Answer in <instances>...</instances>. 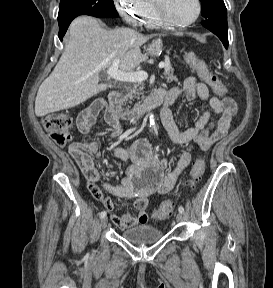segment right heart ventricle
<instances>
[{
	"label": "right heart ventricle",
	"instance_id": "right-heart-ventricle-1",
	"mask_svg": "<svg viewBox=\"0 0 273 288\" xmlns=\"http://www.w3.org/2000/svg\"><path fill=\"white\" fill-rule=\"evenodd\" d=\"M141 23L149 28H155L160 26V21L156 18L152 2H150V7L146 15L143 17Z\"/></svg>",
	"mask_w": 273,
	"mask_h": 288
}]
</instances>
